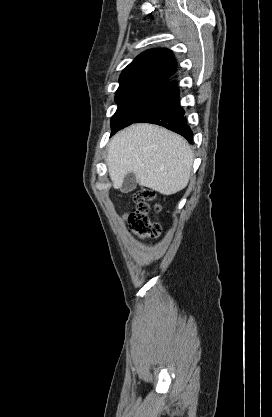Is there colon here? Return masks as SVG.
Returning <instances> with one entry per match:
<instances>
[{
  "label": "colon",
  "mask_w": 272,
  "mask_h": 417,
  "mask_svg": "<svg viewBox=\"0 0 272 417\" xmlns=\"http://www.w3.org/2000/svg\"><path fill=\"white\" fill-rule=\"evenodd\" d=\"M154 198L155 192L148 188L136 191L133 196L136 210L130 215L129 223L131 230L142 238H154L160 233V225L149 216L152 208L159 210V206L152 207L150 204Z\"/></svg>",
  "instance_id": "colon-1"
}]
</instances>
